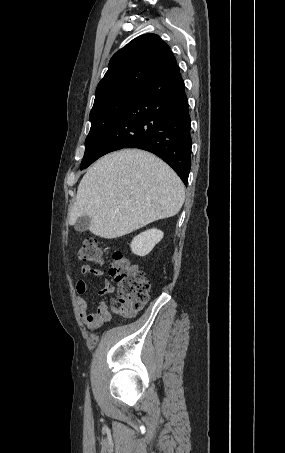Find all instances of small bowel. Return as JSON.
Wrapping results in <instances>:
<instances>
[{"instance_id":"1","label":"small bowel","mask_w":285,"mask_h":453,"mask_svg":"<svg viewBox=\"0 0 285 453\" xmlns=\"http://www.w3.org/2000/svg\"><path fill=\"white\" fill-rule=\"evenodd\" d=\"M81 274L85 276H96L102 277L103 271L97 268H93L89 265L81 267ZM75 289L78 293L76 298V305L79 312V317L82 322L91 330H95L101 327L104 323L111 319V313L121 315L122 311L114 306V302L110 300L109 295L113 292L114 286L109 280H104V288L100 291L102 301L92 311H88L87 301L83 295L87 293L88 285L84 280H79L76 283ZM109 304L111 311L109 310Z\"/></svg>"}]
</instances>
